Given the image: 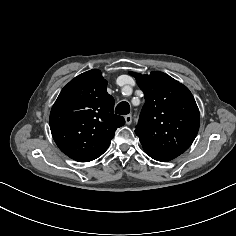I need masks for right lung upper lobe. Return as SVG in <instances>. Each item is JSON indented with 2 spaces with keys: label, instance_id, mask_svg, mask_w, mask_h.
I'll return each instance as SVG.
<instances>
[{
  "label": "right lung upper lobe",
  "instance_id": "1",
  "mask_svg": "<svg viewBox=\"0 0 236 236\" xmlns=\"http://www.w3.org/2000/svg\"><path fill=\"white\" fill-rule=\"evenodd\" d=\"M107 81L93 69L72 79L60 92L50 113V129L60 150L78 162L100 157L115 130L125 124L115 115Z\"/></svg>",
  "mask_w": 236,
  "mask_h": 236
}]
</instances>
